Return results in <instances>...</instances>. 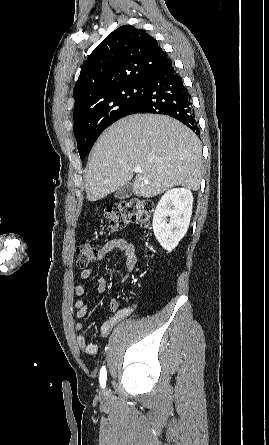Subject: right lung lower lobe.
I'll list each match as a JSON object with an SVG mask.
<instances>
[{"instance_id":"obj_1","label":"right lung lower lobe","mask_w":269,"mask_h":445,"mask_svg":"<svg viewBox=\"0 0 269 445\" xmlns=\"http://www.w3.org/2000/svg\"><path fill=\"white\" fill-rule=\"evenodd\" d=\"M144 84L145 92L129 115L136 113L168 115L185 124L197 135L200 134L191 95L171 60L155 70Z\"/></svg>"}]
</instances>
